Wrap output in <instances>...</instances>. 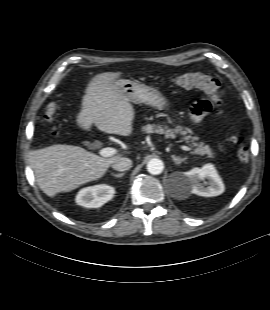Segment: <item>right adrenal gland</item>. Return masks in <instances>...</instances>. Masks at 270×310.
Instances as JSON below:
<instances>
[{"label": "right adrenal gland", "instance_id": "obj_1", "mask_svg": "<svg viewBox=\"0 0 270 310\" xmlns=\"http://www.w3.org/2000/svg\"><path fill=\"white\" fill-rule=\"evenodd\" d=\"M111 175L117 178H121L122 176H124V173H118V174L111 173Z\"/></svg>", "mask_w": 270, "mask_h": 310}]
</instances>
